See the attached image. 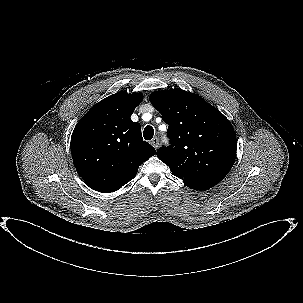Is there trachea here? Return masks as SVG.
<instances>
[{"mask_svg": "<svg viewBox=\"0 0 303 303\" xmlns=\"http://www.w3.org/2000/svg\"><path fill=\"white\" fill-rule=\"evenodd\" d=\"M154 135V129L152 126H146L143 131V136L145 140H151Z\"/></svg>", "mask_w": 303, "mask_h": 303, "instance_id": "obj_1", "label": "trachea"}]
</instances>
